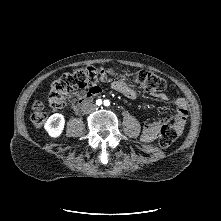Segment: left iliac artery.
<instances>
[{"label":"left iliac artery","instance_id":"obj_1","mask_svg":"<svg viewBox=\"0 0 221 221\" xmlns=\"http://www.w3.org/2000/svg\"><path fill=\"white\" fill-rule=\"evenodd\" d=\"M104 105L105 106H109L110 105V102L108 100H104Z\"/></svg>","mask_w":221,"mask_h":221}]
</instances>
